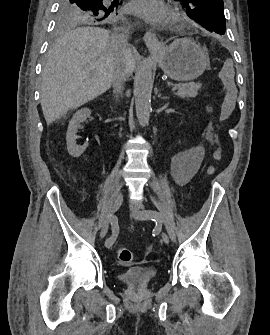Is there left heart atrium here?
I'll return each mask as SVG.
<instances>
[{"mask_svg": "<svg viewBox=\"0 0 270 335\" xmlns=\"http://www.w3.org/2000/svg\"><path fill=\"white\" fill-rule=\"evenodd\" d=\"M132 12L152 28H164L173 24L174 17L160 0H136Z\"/></svg>", "mask_w": 270, "mask_h": 335, "instance_id": "obj_1", "label": "left heart atrium"}]
</instances>
